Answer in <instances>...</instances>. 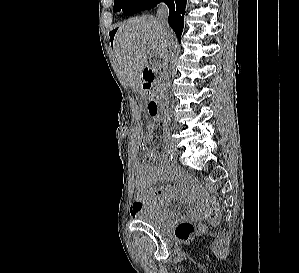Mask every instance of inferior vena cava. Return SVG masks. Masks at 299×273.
I'll list each match as a JSON object with an SVG mask.
<instances>
[{
  "instance_id": "inferior-vena-cava-1",
  "label": "inferior vena cava",
  "mask_w": 299,
  "mask_h": 273,
  "mask_svg": "<svg viewBox=\"0 0 299 273\" xmlns=\"http://www.w3.org/2000/svg\"><path fill=\"white\" fill-rule=\"evenodd\" d=\"M168 14L169 10L168 7L165 4H160L157 9V19L159 21V24L161 25L163 32L167 35V30L169 29L168 26ZM172 49V44L170 43L169 40H167L166 47L164 49V52L162 54V64L160 66V90L163 95V108L168 107V96H167V67H168V59L170 57ZM166 112V110H164Z\"/></svg>"
}]
</instances>
